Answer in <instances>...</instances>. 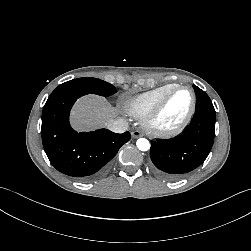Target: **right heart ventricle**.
<instances>
[{
	"label": "right heart ventricle",
	"mask_w": 251,
	"mask_h": 251,
	"mask_svg": "<svg viewBox=\"0 0 251 251\" xmlns=\"http://www.w3.org/2000/svg\"><path fill=\"white\" fill-rule=\"evenodd\" d=\"M176 84H166L141 93L123 102L125 112L136 118L143 119L158 103L162 96Z\"/></svg>",
	"instance_id": "obj_1"
}]
</instances>
